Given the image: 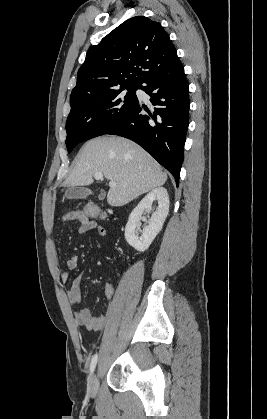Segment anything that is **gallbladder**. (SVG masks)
Here are the masks:
<instances>
[{
  "instance_id": "1",
  "label": "gallbladder",
  "mask_w": 267,
  "mask_h": 419,
  "mask_svg": "<svg viewBox=\"0 0 267 419\" xmlns=\"http://www.w3.org/2000/svg\"><path fill=\"white\" fill-rule=\"evenodd\" d=\"M90 194H91V191H89L86 188L72 187L67 191L66 197L68 199H84ZM100 197L103 198V195H101Z\"/></svg>"
}]
</instances>
